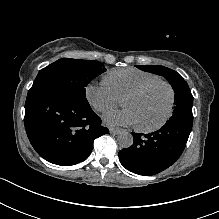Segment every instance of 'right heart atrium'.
I'll return each mask as SVG.
<instances>
[{
	"label": "right heart atrium",
	"instance_id": "1",
	"mask_svg": "<svg viewBox=\"0 0 219 219\" xmlns=\"http://www.w3.org/2000/svg\"><path fill=\"white\" fill-rule=\"evenodd\" d=\"M85 98L94 110L101 113H107L118 105V99L105 80L99 84L89 83L85 87Z\"/></svg>",
	"mask_w": 219,
	"mask_h": 219
}]
</instances>
